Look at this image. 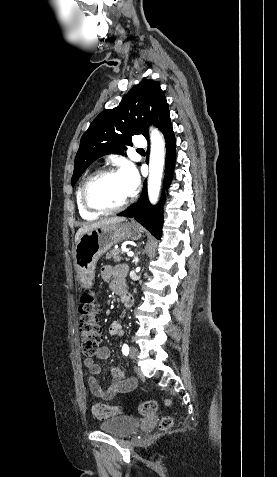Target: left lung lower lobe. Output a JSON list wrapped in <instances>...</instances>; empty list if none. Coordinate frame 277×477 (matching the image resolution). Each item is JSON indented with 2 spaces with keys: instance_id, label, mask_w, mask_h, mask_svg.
<instances>
[{
  "instance_id": "left-lung-lower-lobe-1",
  "label": "left lung lower lobe",
  "mask_w": 277,
  "mask_h": 477,
  "mask_svg": "<svg viewBox=\"0 0 277 477\" xmlns=\"http://www.w3.org/2000/svg\"><path fill=\"white\" fill-rule=\"evenodd\" d=\"M161 132L164 134L166 141V166L164 187H168L172 179L176 159V140L171 121L167 122V124L162 127ZM119 216L133 217L158 239H160V237L162 236V203L155 207L151 206L147 196L146 181L144 182L142 195L139 198L138 202L131 206L129 209L120 213Z\"/></svg>"
}]
</instances>
